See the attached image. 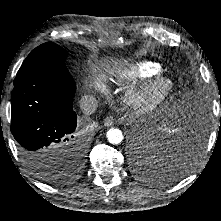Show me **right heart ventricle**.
I'll return each mask as SVG.
<instances>
[{
	"instance_id": "obj_1",
	"label": "right heart ventricle",
	"mask_w": 221,
	"mask_h": 221,
	"mask_svg": "<svg viewBox=\"0 0 221 221\" xmlns=\"http://www.w3.org/2000/svg\"><path fill=\"white\" fill-rule=\"evenodd\" d=\"M160 73H162V68L159 64L143 61L133 66L125 77L127 79L149 78Z\"/></svg>"
}]
</instances>
